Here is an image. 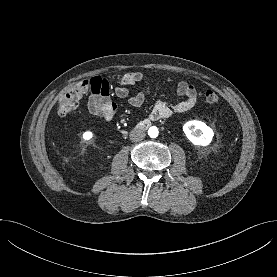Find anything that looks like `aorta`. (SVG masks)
<instances>
[{
    "mask_svg": "<svg viewBox=\"0 0 277 277\" xmlns=\"http://www.w3.org/2000/svg\"><path fill=\"white\" fill-rule=\"evenodd\" d=\"M159 134V131H158V128L153 126V127H150L149 130H148V135L151 137V138H156Z\"/></svg>",
    "mask_w": 277,
    "mask_h": 277,
    "instance_id": "1",
    "label": "aorta"
}]
</instances>
